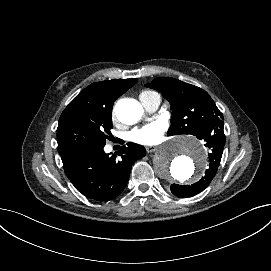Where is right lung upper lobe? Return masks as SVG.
Returning <instances> with one entry per match:
<instances>
[{
	"label": "right lung upper lobe",
	"mask_w": 271,
	"mask_h": 271,
	"mask_svg": "<svg viewBox=\"0 0 271 271\" xmlns=\"http://www.w3.org/2000/svg\"><path fill=\"white\" fill-rule=\"evenodd\" d=\"M137 82V79L110 80L96 82L86 87L78 96L95 92L107 91L120 97Z\"/></svg>",
	"instance_id": "right-lung-upper-lobe-1"
}]
</instances>
